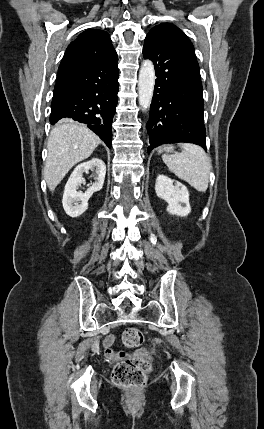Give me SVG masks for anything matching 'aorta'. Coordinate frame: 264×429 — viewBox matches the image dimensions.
<instances>
[{"label":"aorta","mask_w":264,"mask_h":429,"mask_svg":"<svg viewBox=\"0 0 264 429\" xmlns=\"http://www.w3.org/2000/svg\"><path fill=\"white\" fill-rule=\"evenodd\" d=\"M154 65L150 60H144L138 78V101L144 111L150 108L154 85H155Z\"/></svg>","instance_id":"aorta-1"}]
</instances>
